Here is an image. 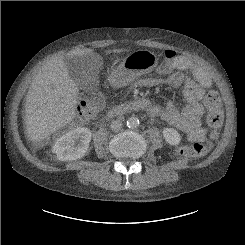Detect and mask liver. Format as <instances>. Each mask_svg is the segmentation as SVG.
Wrapping results in <instances>:
<instances>
[{"label":"liver","mask_w":245,"mask_h":245,"mask_svg":"<svg viewBox=\"0 0 245 245\" xmlns=\"http://www.w3.org/2000/svg\"><path fill=\"white\" fill-rule=\"evenodd\" d=\"M92 49L70 51L45 64L34 77L25 102V124L29 139L40 142L69 124L76 115L79 89L69 75L68 58L90 54ZM125 49L108 50L120 53Z\"/></svg>","instance_id":"liver-1"}]
</instances>
